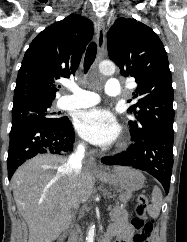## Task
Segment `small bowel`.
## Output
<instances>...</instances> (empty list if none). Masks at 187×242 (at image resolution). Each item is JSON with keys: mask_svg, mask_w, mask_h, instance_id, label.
I'll use <instances>...</instances> for the list:
<instances>
[{"mask_svg": "<svg viewBox=\"0 0 187 242\" xmlns=\"http://www.w3.org/2000/svg\"><path fill=\"white\" fill-rule=\"evenodd\" d=\"M133 234V226L124 220L112 224L107 232L110 237L117 236V242H131Z\"/></svg>", "mask_w": 187, "mask_h": 242, "instance_id": "obj_1", "label": "small bowel"}]
</instances>
